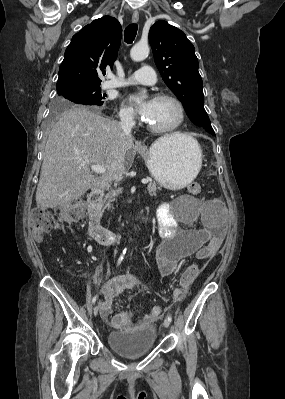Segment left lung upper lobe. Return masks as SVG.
<instances>
[{"label":"left lung upper lobe","mask_w":285,"mask_h":399,"mask_svg":"<svg viewBox=\"0 0 285 399\" xmlns=\"http://www.w3.org/2000/svg\"><path fill=\"white\" fill-rule=\"evenodd\" d=\"M155 64L165 84L182 102L190 120L215 134L204 109L203 82L192 43L180 29L157 21L149 31Z\"/></svg>","instance_id":"1"}]
</instances>
